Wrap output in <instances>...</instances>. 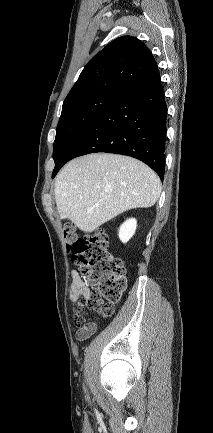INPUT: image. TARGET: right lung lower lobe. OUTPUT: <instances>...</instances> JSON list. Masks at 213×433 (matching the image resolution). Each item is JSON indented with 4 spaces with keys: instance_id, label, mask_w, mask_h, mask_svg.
Here are the masks:
<instances>
[{
    "instance_id": "98d812e1",
    "label": "right lung lower lobe",
    "mask_w": 213,
    "mask_h": 433,
    "mask_svg": "<svg viewBox=\"0 0 213 433\" xmlns=\"http://www.w3.org/2000/svg\"><path fill=\"white\" fill-rule=\"evenodd\" d=\"M167 105L157 65L83 129L55 161L53 177L70 159L94 152L137 158L165 172Z\"/></svg>"
}]
</instances>
